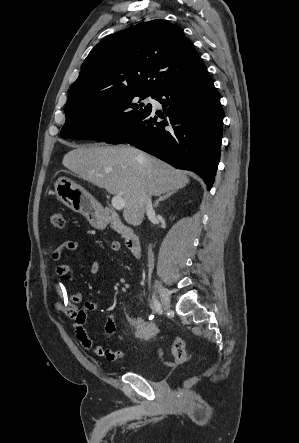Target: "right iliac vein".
<instances>
[{"label": "right iliac vein", "instance_id": "63e3f726", "mask_svg": "<svg viewBox=\"0 0 299 443\" xmlns=\"http://www.w3.org/2000/svg\"><path fill=\"white\" fill-rule=\"evenodd\" d=\"M161 303L165 310L170 308V293L167 288H165L161 283H157Z\"/></svg>", "mask_w": 299, "mask_h": 443}]
</instances>
